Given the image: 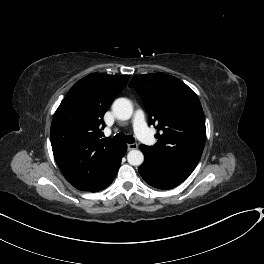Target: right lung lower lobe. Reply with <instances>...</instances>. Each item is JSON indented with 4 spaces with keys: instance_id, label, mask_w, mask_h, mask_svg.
Segmentation results:
<instances>
[{
    "instance_id": "obj_1",
    "label": "right lung lower lobe",
    "mask_w": 264,
    "mask_h": 264,
    "mask_svg": "<svg viewBox=\"0 0 264 264\" xmlns=\"http://www.w3.org/2000/svg\"><path fill=\"white\" fill-rule=\"evenodd\" d=\"M126 150H127L126 144L122 143L120 158H119L116 166L114 167L113 171L102 182H100L99 184H97V185H95L89 189H85L83 191L97 192V191H101V190L105 189L106 187H108L112 183V181L114 180V178L118 172V169H119L120 164H121V159L125 155Z\"/></svg>"
}]
</instances>
